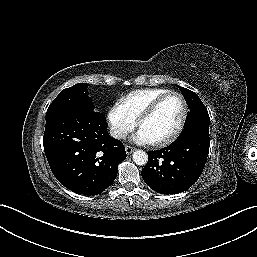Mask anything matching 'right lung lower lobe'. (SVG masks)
<instances>
[{
    "label": "right lung lower lobe",
    "instance_id": "right-lung-lower-lobe-1",
    "mask_svg": "<svg viewBox=\"0 0 257 257\" xmlns=\"http://www.w3.org/2000/svg\"><path fill=\"white\" fill-rule=\"evenodd\" d=\"M43 144L56 179L80 195L103 192L126 158L123 144L108 134L105 119L83 107L47 111Z\"/></svg>",
    "mask_w": 257,
    "mask_h": 257
}]
</instances>
